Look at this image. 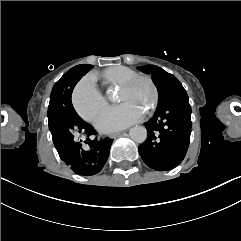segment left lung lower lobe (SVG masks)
I'll use <instances>...</instances> for the list:
<instances>
[{
	"label": "left lung lower lobe",
	"instance_id": "obj_1",
	"mask_svg": "<svg viewBox=\"0 0 241 241\" xmlns=\"http://www.w3.org/2000/svg\"><path fill=\"white\" fill-rule=\"evenodd\" d=\"M148 137L139 146L145 164L157 171L171 170L184 159L191 134V107L186 92L172 95L158 105L144 123Z\"/></svg>",
	"mask_w": 241,
	"mask_h": 241
}]
</instances>
